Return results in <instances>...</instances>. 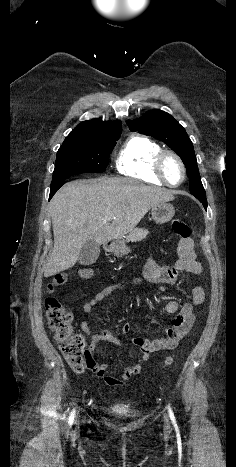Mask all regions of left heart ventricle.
Here are the masks:
<instances>
[{
	"label": "left heart ventricle",
	"instance_id": "1",
	"mask_svg": "<svg viewBox=\"0 0 236 467\" xmlns=\"http://www.w3.org/2000/svg\"><path fill=\"white\" fill-rule=\"evenodd\" d=\"M163 169L167 180L172 184H177L182 179V170L179 163L173 157H166Z\"/></svg>",
	"mask_w": 236,
	"mask_h": 467
}]
</instances>
